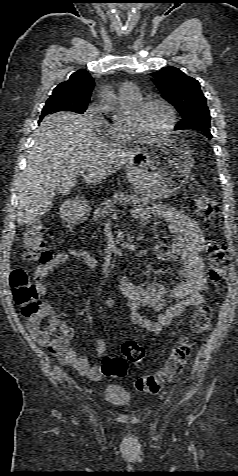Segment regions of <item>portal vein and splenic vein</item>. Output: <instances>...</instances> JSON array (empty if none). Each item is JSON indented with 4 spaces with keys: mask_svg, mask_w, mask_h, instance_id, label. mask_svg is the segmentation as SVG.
Segmentation results:
<instances>
[{
    "mask_svg": "<svg viewBox=\"0 0 238 476\" xmlns=\"http://www.w3.org/2000/svg\"><path fill=\"white\" fill-rule=\"evenodd\" d=\"M83 174V171H80L77 173V175H82Z\"/></svg>",
    "mask_w": 238,
    "mask_h": 476,
    "instance_id": "portal-vein-and-splenic-vein-1",
    "label": "portal vein and splenic vein"
}]
</instances>
